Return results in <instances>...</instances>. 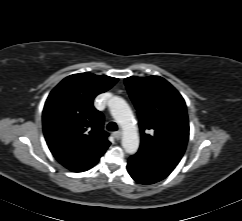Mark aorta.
Here are the masks:
<instances>
[{
	"instance_id": "aorta-1",
	"label": "aorta",
	"mask_w": 242,
	"mask_h": 221,
	"mask_svg": "<svg viewBox=\"0 0 242 221\" xmlns=\"http://www.w3.org/2000/svg\"><path fill=\"white\" fill-rule=\"evenodd\" d=\"M110 111L123 130L122 146L124 150L129 154L136 153L140 141L131 108L123 98L113 97L110 101Z\"/></svg>"
}]
</instances>
